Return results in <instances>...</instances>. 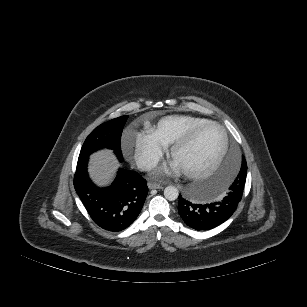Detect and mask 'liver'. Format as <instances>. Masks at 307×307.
<instances>
[{
    "label": "liver",
    "instance_id": "obj_1",
    "mask_svg": "<svg viewBox=\"0 0 307 307\" xmlns=\"http://www.w3.org/2000/svg\"><path fill=\"white\" fill-rule=\"evenodd\" d=\"M119 167V163L111 151L104 150L91 156L89 173L93 181L104 186L110 183Z\"/></svg>",
    "mask_w": 307,
    "mask_h": 307
}]
</instances>
